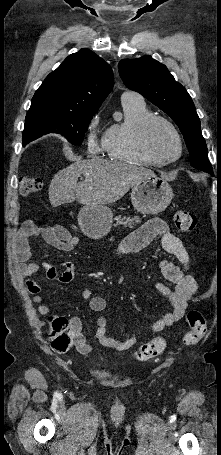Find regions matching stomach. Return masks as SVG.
I'll list each match as a JSON object with an SVG mask.
<instances>
[{
  "label": "stomach",
  "mask_w": 221,
  "mask_h": 455,
  "mask_svg": "<svg viewBox=\"0 0 221 455\" xmlns=\"http://www.w3.org/2000/svg\"><path fill=\"white\" fill-rule=\"evenodd\" d=\"M174 197L169 183L159 177H149L138 182L131 192L134 208L143 214H157L165 210ZM113 213L104 204L86 205L78 214L82 232L92 239L106 236L112 226Z\"/></svg>",
  "instance_id": "stomach-1"
}]
</instances>
